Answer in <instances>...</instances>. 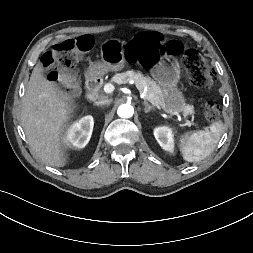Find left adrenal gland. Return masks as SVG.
I'll return each instance as SVG.
<instances>
[{"mask_svg": "<svg viewBox=\"0 0 253 253\" xmlns=\"http://www.w3.org/2000/svg\"><path fill=\"white\" fill-rule=\"evenodd\" d=\"M143 104L145 105V113H149L150 111L154 110V108L147 101H144Z\"/></svg>", "mask_w": 253, "mask_h": 253, "instance_id": "obj_1", "label": "left adrenal gland"}]
</instances>
